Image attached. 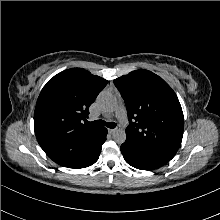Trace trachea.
I'll list each match as a JSON object with an SVG mask.
<instances>
[{"label":"trachea","instance_id":"1","mask_svg":"<svg viewBox=\"0 0 220 220\" xmlns=\"http://www.w3.org/2000/svg\"><path fill=\"white\" fill-rule=\"evenodd\" d=\"M87 124L94 125V126H106L108 128H115L116 123L114 122H105L104 120H95L93 122H87Z\"/></svg>","mask_w":220,"mask_h":220}]
</instances>
